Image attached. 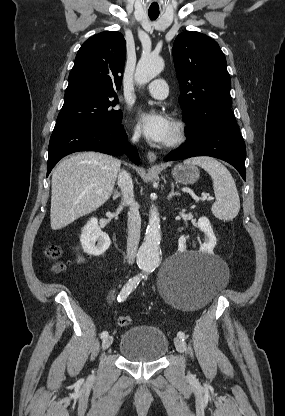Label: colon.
<instances>
[{"label":"colon","mask_w":285,"mask_h":416,"mask_svg":"<svg viewBox=\"0 0 285 416\" xmlns=\"http://www.w3.org/2000/svg\"><path fill=\"white\" fill-rule=\"evenodd\" d=\"M48 256L55 261L54 269L55 271H61L64 268V264L59 261L61 255V249L58 246L52 245L47 250ZM132 322V319L129 316H120L118 318V324L122 327L129 326Z\"/></svg>","instance_id":"5ec220e1"}]
</instances>
